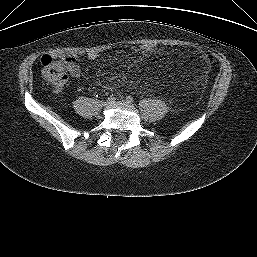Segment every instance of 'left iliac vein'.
<instances>
[{
	"mask_svg": "<svg viewBox=\"0 0 257 257\" xmlns=\"http://www.w3.org/2000/svg\"><path fill=\"white\" fill-rule=\"evenodd\" d=\"M121 103H125V104H128L129 102L128 101H125V100H122L120 101Z\"/></svg>",
	"mask_w": 257,
	"mask_h": 257,
	"instance_id": "left-iliac-vein-1",
	"label": "left iliac vein"
}]
</instances>
